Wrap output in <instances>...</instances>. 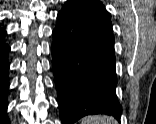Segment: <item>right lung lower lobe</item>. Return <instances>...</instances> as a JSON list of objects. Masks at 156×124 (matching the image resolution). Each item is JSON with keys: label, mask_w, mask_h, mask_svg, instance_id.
Wrapping results in <instances>:
<instances>
[{"label": "right lung lower lobe", "mask_w": 156, "mask_h": 124, "mask_svg": "<svg viewBox=\"0 0 156 124\" xmlns=\"http://www.w3.org/2000/svg\"><path fill=\"white\" fill-rule=\"evenodd\" d=\"M6 31L0 28V124H10L7 116V89L9 88L7 60L10 47L5 44Z\"/></svg>", "instance_id": "obj_1"}]
</instances>
